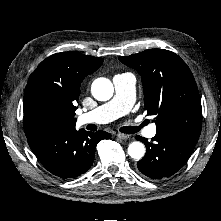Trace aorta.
<instances>
[{
    "instance_id": "aorta-1",
    "label": "aorta",
    "mask_w": 221,
    "mask_h": 221,
    "mask_svg": "<svg viewBox=\"0 0 221 221\" xmlns=\"http://www.w3.org/2000/svg\"><path fill=\"white\" fill-rule=\"evenodd\" d=\"M91 92L96 100L107 101L113 96V84L107 78H97L92 83ZM128 154L133 159H141L145 154V146L135 141L128 146Z\"/></svg>"
}]
</instances>
